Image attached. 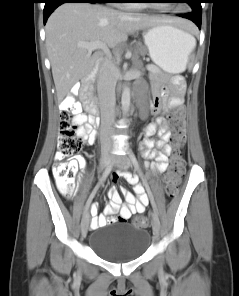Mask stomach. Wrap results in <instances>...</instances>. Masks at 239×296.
<instances>
[{"label": "stomach", "instance_id": "stomach-1", "mask_svg": "<svg viewBox=\"0 0 239 296\" xmlns=\"http://www.w3.org/2000/svg\"><path fill=\"white\" fill-rule=\"evenodd\" d=\"M152 61L164 72L178 74L185 70L192 49L191 35L169 24H159L143 33Z\"/></svg>", "mask_w": 239, "mask_h": 296}]
</instances>
